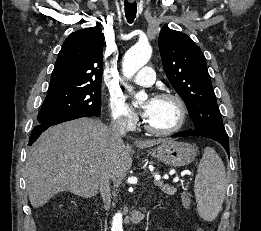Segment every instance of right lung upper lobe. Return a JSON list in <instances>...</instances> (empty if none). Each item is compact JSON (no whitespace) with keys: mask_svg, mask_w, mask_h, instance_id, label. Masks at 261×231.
Here are the masks:
<instances>
[{"mask_svg":"<svg viewBox=\"0 0 261 231\" xmlns=\"http://www.w3.org/2000/svg\"><path fill=\"white\" fill-rule=\"evenodd\" d=\"M103 45L99 26L71 33L58 54L49 88L101 86Z\"/></svg>","mask_w":261,"mask_h":231,"instance_id":"1","label":"right lung upper lobe"}]
</instances>
